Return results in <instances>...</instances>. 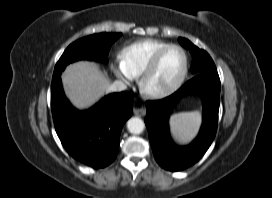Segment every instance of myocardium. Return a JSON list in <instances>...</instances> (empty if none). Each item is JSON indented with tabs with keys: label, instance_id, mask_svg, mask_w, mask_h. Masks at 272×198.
Wrapping results in <instances>:
<instances>
[{
	"label": "myocardium",
	"instance_id": "obj_1",
	"mask_svg": "<svg viewBox=\"0 0 272 198\" xmlns=\"http://www.w3.org/2000/svg\"><path fill=\"white\" fill-rule=\"evenodd\" d=\"M171 49H178L183 54L184 66H183V71H182L181 75L171 86H169L166 89H162V90L150 89L148 86L149 79L152 77L154 72L157 70L159 63H160L161 59L163 58V56ZM188 70H189V58H188V54H187L186 50L183 47H181L180 45L169 44L168 46L162 48L160 51H158L156 53V55L152 58V60L148 64V66L145 68V70L141 74L140 82H139L140 89L145 96L152 98V99H160V98L170 96L173 93H175L182 86V84L184 83V81L187 77Z\"/></svg>",
	"mask_w": 272,
	"mask_h": 198
}]
</instances>
